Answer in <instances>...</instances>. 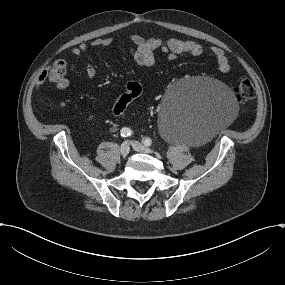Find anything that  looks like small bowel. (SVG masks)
Masks as SVG:
<instances>
[{"label": "small bowel", "instance_id": "c3829d8e", "mask_svg": "<svg viewBox=\"0 0 285 285\" xmlns=\"http://www.w3.org/2000/svg\"><path fill=\"white\" fill-rule=\"evenodd\" d=\"M129 40L132 44L129 52L139 66L152 67L156 63L155 52L159 51L167 56L169 60H176L182 55L201 56L205 52H208L216 61L218 69L225 73L230 70V63L228 57L223 49L219 47H210L206 50L200 43L189 40H180L177 38H169L162 40L159 37L153 36L150 38H144L140 35H130ZM114 39L111 37L96 38L89 44L82 43L73 48L72 54L79 57L86 53L90 48H107L111 46ZM85 73L87 78L93 79L96 75L95 67L86 63ZM47 77V72L44 71L39 80L38 86H41ZM70 81L66 77H62L56 83V89L58 91H64L68 88Z\"/></svg>", "mask_w": 285, "mask_h": 285}]
</instances>
